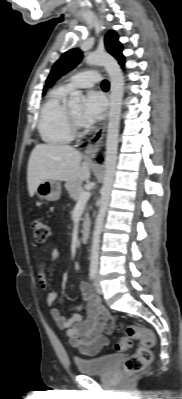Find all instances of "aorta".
I'll return each mask as SVG.
<instances>
[{
  "label": "aorta",
  "mask_w": 182,
  "mask_h": 399,
  "mask_svg": "<svg viewBox=\"0 0 182 399\" xmlns=\"http://www.w3.org/2000/svg\"><path fill=\"white\" fill-rule=\"evenodd\" d=\"M87 65H101L107 71L110 83V111L108 116L106 153H105V176L101 188V198L99 202V211L95 220V227L92 236L91 245V265H98L100 236L107 212L110 195L114 183L117 162L118 135L121 117V107L124 90V80L121 68L114 57L106 52L89 53L85 57ZM84 100L81 91H73L70 94L68 105L78 107Z\"/></svg>",
  "instance_id": "obj_1"
}]
</instances>
